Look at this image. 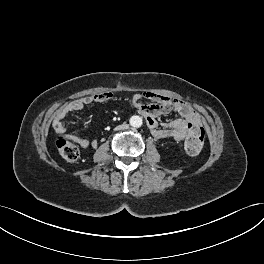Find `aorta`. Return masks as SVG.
<instances>
[{"mask_svg": "<svg viewBox=\"0 0 264 264\" xmlns=\"http://www.w3.org/2000/svg\"><path fill=\"white\" fill-rule=\"evenodd\" d=\"M130 125L134 128H139L142 125V118L140 116L137 115H133L130 120Z\"/></svg>", "mask_w": 264, "mask_h": 264, "instance_id": "762f6f07", "label": "aorta"}]
</instances>
